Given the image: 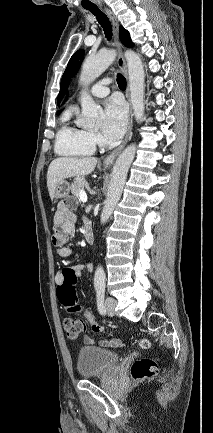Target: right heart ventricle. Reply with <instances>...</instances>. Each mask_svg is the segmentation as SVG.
Instances as JSON below:
<instances>
[{"mask_svg":"<svg viewBox=\"0 0 213 433\" xmlns=\"http://www.w3.org/2000/svg\"><path fill=\"white\" fill-rule=\"evenodd\" d=\"M73 109H68L56 135L55 151L61 156H89L95 152L93 134L72 120Z\"/></svg>","mask_w":213,"mask_h":433,"instance_id":"1","label":"right heart ventricle"}]
</instances>
